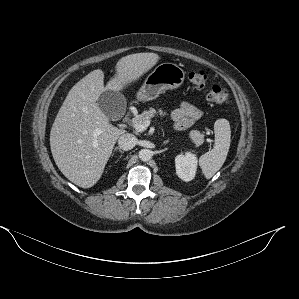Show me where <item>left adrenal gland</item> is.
<instances>
[{
	"label": "left adrenal gland",
	"instance_id": "left-adrenal-gland-1",
	"mask_svg": "<svg viewBox=\"0 0 299 299\" xmlns=\"http://www.w3.org/2000/svg\"><path fill=\"white\" fill-rule=\"evenodd\" d=\"M169 142V140H166L165 142H164V144H167Z\"/></svg>",
	"mask_w": 299,
	"mask_h": 299
}]
</instances>
